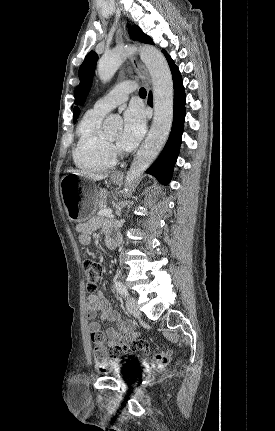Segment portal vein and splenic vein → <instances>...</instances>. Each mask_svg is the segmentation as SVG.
Returning a JSON list of instances; mask_svg holds the SVG:
<instances>
[{"label": "portal vein and splenic vein", "instance_id": "portal-vein-and-splenic-vein-1", "mask_svg": "<svg viewBox=\"0 0 275 431\" xmlns=\"http://www.w3.org/2000/svg\"><path fill=\"white\" fill-rule=\"evenodd\" d=\"M111 214H112L111 209H102L97 213V215H99V216H109Z\"/></svg>", "mask_w": 275, "mask_h": 431}]
</instances>
